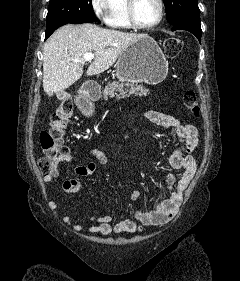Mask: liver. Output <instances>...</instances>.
Segmentation results:
<instances>
[{
	"mask_svg": "<svg viewBox=\"0 0 240 281\" xmlns=\"http://www.w3.org/2000/svg\"><path fill=\"white\" fill-rule=\"evenodd\" d=\"M136 34L100 28L94 24L65 25L46 41L43 49V89L48 96L63 91L78 81L83 64L76 62L86 53L94 52V61L87 76L109 69L130 45L145 37Z\"/></svg>",
	"mask_w": 240,
	"mask_h": 281,
	"instance_id": "6515ba94",
	"label": "liver"
}]
</instances>
